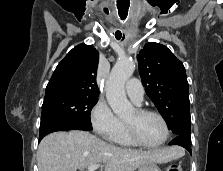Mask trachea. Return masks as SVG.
<instances>
[{
  "mask_svg": "<svg viewBox=\"0 0 223 171\" xmlns=\"http://www.w3.org/2000/svg\"><path fill=\"white\" fill-rule=\"evenodd\" d=\"M115 37H116L117 40H120L121 39V37H117V36H115Z\"/></svg>",
  "mask_w": 223,
  "mask_h": 171,
  "instance_id": "obj_1",
  "label": "trachea"
}]
</instances>
